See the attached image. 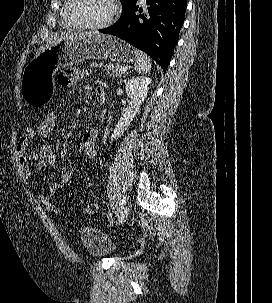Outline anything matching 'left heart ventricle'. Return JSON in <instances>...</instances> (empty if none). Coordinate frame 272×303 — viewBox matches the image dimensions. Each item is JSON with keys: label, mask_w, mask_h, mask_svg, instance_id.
Instances as JSON below:
<instances>
[{"label": "left heart ventricle", "mask_w": 272, "mask_h": 303, "mask_svg": "<svg viewBox=\"0 0 272 303\" xmlns=\"http://www.w3.org/2000/svg\"><path fill=\"white\" fill-rule=\"evenodd\" d=\"M111 13L109 0H74L70 7V17L83 24H100Z\"/></svg>", "instance_id": "b2bd125f"}]
</instances>
